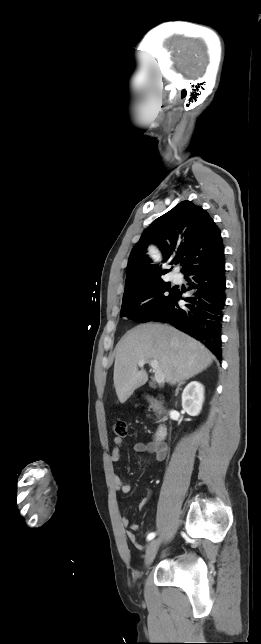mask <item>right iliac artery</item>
<instances>
[{
    "instance_id": "82829eb1",
    "label": "right iliac artery",
    "mask_w": 261,
    "mask_h": 644,
    "mask_svg": "<svg viewBox=\"0 0 261 644\" xmlns=\"http://www.w3.org/2000/svg\"><path fill=\"white\" fill-rule=\"evenodd\" d=\"M155 535H156V533H155V532L150 533V534L147 536V540H148V541L152 540V539L155 537Z\"/></svg>"
}]
</instances>
